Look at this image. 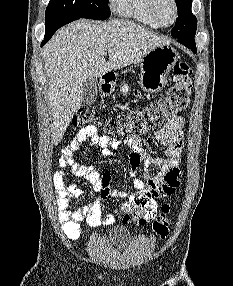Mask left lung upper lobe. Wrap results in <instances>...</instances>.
<instances>
[{
  "mask_svg": "<svg viewBox=\"0 0 233 286\" xmlns=\"http://www.w3.org/2000/svg\"><path fill=\"white\" fill-rule=\"evenodd\" d=\"M192 0H176L178 19L171 34L176 39L194 37L197 29V18L191 12Z\"/></svg>",
  "mask_w": 233,
  "mask_h": 286,
  "instance_id": "5c2ea615",
  "label": "left lung upper lobe"
}]
</instances>
